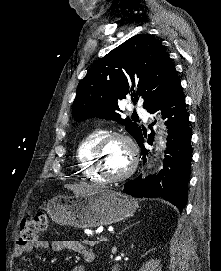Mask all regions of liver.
<instances>
[{
    "instance_id": "liver-1",
    "label": "liver",
    "mask_w": 221,
    "mask_h": 271,
    "mask_svg": "<svg viewBox=\"0 0 221 271\" xmlns=\"http://www.w3.org/2000/svg\"><path fill=\"white\" fill-rule=\"evenodd\" d=\"M80 193H85V191H83V189H80Z\"/></svg>"
}]
</instances>
